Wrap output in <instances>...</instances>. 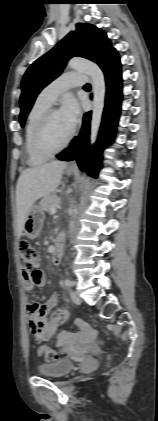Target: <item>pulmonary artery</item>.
Masks as SVG:
<instances>
[{"label":"pulmonary artery","instance_id":"obj_1","mask_svg":"<svg viewBox=\"0 0 158 421\" xmlns=\"http://www.w3.org/2000/svg\"><path fill=\"white\" fill-rule=\"evenodd\" d=\"M87 80L86 75L78 72H66L53 80L40 92L38 98L52 104L56 98L69 88L83 85Z\"/></svg>","mask_w":158,"mask_h":421}]
</instances>
